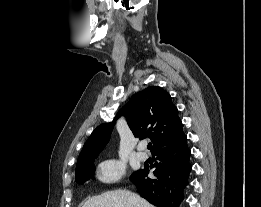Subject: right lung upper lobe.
Returning a JSON list of instances; mask_svg holds the SVG:
<instances>
[{
	"label": "right lung upper lobe",
	"instance_id": "right-lung-upper-lobe-1",
	"mask_svg": "<svg viewBox=\"0 0 261 207\" xmlns=\"http://www.w3.org/2000/svg\"><path fill=\"white\" fill-rule=\"evenodd\" d=\"M124 116L135 137L148 136L154 146L152 153L185 137L178 110L171 96L162 88L152 86L136 93L117 113L114 120L102 123L85 142L77 165L97 157L106 146L116 120Z\"/></svg>",
	"mask_w": 261,
	"mask_h": 207
}]
</instances>
